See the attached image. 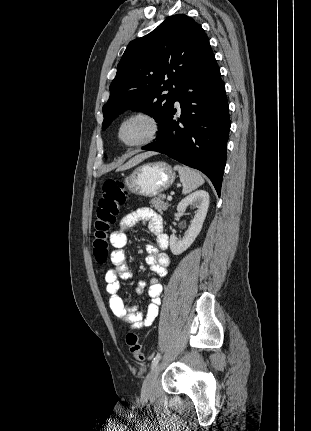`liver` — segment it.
Here are the masks:
<instances>
[{"label":"liver","mask_w":311,"mask_h":431,"mask_svg":"<svg viewBox=\"0 0 311 431\" xmlns=\"http://www.w3.org/2000/svg\"><path fill=\"white\" fill-rule=\"evenodd\" d=\"M152 156V152H145V154H138V156H134L131 160H128L124 166H119L118 170H129V168H134V166H138L140 162L146 160V158H150Z\"/></svg>","instance_id":"liver-1"}]
</instances>
